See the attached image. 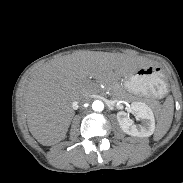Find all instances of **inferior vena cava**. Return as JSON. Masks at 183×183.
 <instances>
[{
    "instance_id": "obj_1",
    "label": "inferior vena cava",
    "mask_w": 183,
    "mask_h": 183,
    "mask_svg": "<svg viewBox=\"0 0 183 183\" xmlns=\"http://www.w3.org/2000/svg\"><path fill=\"white\" fill-rule=\"evenodd\" d=\"M88 96H84V97H81L78 101H75L73 104H77V103H85L88 101Z\"/></svg>"
}]
</instances>
